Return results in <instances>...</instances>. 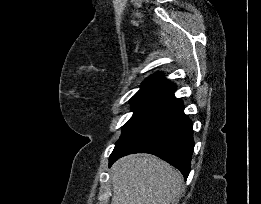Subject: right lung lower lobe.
Segmentation results:
<instances>
[{
	"instance_id": "98d812e1",
	"label": "right lung lower lobe",
	"mask_w": 261,
	"mask_h": 204,
	"mask_svg": "<svg viewBox=\"0 0 261 204\" xmlns=\"http://www.w3.org/2000/svg\"><path fill=\"white\" fill-rule=\"evenodd\" d=\"M194 148L192 122L182 101L171 94L135 129L118 142L110 165L130 153H149L176 167L187 179Z\"/></svg>"
}]
</instances>
